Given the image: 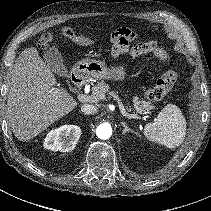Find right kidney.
Masks as SVG:
<instances>
[{
    "label": "right kidney",
    "instance_id": "right-kidney-1",
    "mask_svg": "<svg viewBox=\"0 0 211 211\" xmlns=\"http://www.w3.org/2000/svg\"><path fill=\"white\" fill-rule=\"evenodd\" d=\"M81 129L75 125H64L51 130L44 139V147L52 151H72L79 141Z\"/></svg>",
    "mask_w": 211,
    "mask_h": 211
}]
</instances>
